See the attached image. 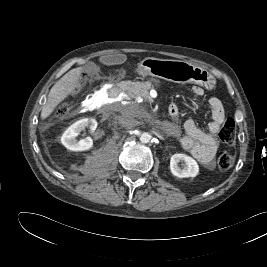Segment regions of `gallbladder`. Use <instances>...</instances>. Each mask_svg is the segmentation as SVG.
<instances>
[{"label": "gallbladder", "instance_id": "gallbladder-1", "mask_svg": "<svg viewBox=\"0 0 267 267\" xmlns=\"http://www.w3.org/2000/svg\"><path fill=\"white\" fill-rule=\"evenodd\" d=\"M119 60H124V56H122V55H117V56H115V57H102L101 58V62L103 63V64H112L113 62H115V61H119ZM86 69L89 71V72H91V73H93L94 72V70H95V65L93 64V63H88L87 65H86Z\"/></svg>", "mask_w": 267, "mask_h": 267}]
</instances>
